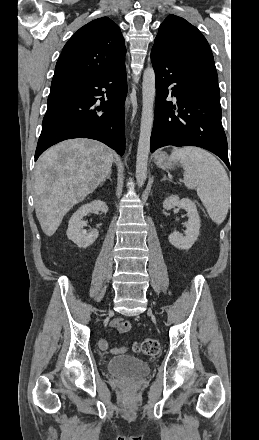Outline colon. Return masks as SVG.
<instances>
[{"label": "colon", "instance_id": "colon-1", "mask_svg": "<svg viewBox=\"0 0 259 440\" xmlns=\"http://www.w3.org/2000/svg\"><path fill=\"white\" fill-rule=\"evenodd\" d=\"M134 350L144 355L154 356L159 352L160 345L156 339L148 338L140 344H134Z\"/></svg>", "mask_w": 259, "mask_h": 440}]
</instances>
